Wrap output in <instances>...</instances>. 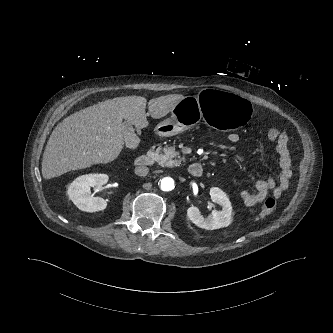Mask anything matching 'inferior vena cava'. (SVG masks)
<instances>
[{"label":"inferior vena cava","instance_id":"1","mask_svg":"<svg viewBox=\"0 0 333 333\" xmlns=\"http://www.w3.org/2000/svg\"><path fill=\"white\" fill-rule=\"evenodd\" d=\"M148 172L149 169L146 166H138L135 168V174L138 176H146Z\"/></svg>","mask_w":333,"mask_h":333}]
</instances>
